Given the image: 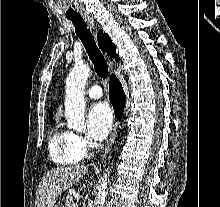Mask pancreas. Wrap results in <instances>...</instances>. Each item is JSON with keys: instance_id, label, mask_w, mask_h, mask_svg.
Wrapping results in <instances>:
<instances>
[{"instance_id": "cf45deb5", "label": "pancreas", "mask_w": 220, "mask_h": 207, "mask_svg": "<svg viewBox=\"0 0 220 207\" xmlns=\"http://www.w3.org/2000/svg\"><path fill=\"white\" fill-rule=\"evenodd\" d=\"M74 203V199L72 196H68L67 199H66V207H72Z\"/></svg>"}]
</instances>
